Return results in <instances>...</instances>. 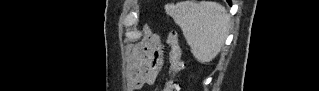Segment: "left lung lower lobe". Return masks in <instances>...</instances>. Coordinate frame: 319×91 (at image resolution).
Wrapping results in <instances>:
<instances>
[{
	"label": "left lung lower lobe",
	"mask_w": 319,
	"mask_h": 91,
	"mask_svg": "<svg viewBox=\"0 0 319 91\" xmlns=\"http://www.w3.org/2000/svg\"><path fill=\"white\" fill-rule=\"evenodd\" d=\"M227 2L231 4V0H227Z\"/></svg>",
	"instance_id": "obj_1"
}]
</instances>
